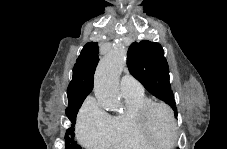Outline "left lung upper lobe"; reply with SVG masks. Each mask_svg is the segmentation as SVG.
<instances>
[{"label":"left lung upper lobe","mask_w":227,"mask_h":149,"mask_svg":"<svg viewBox=\"0 0 227 149\" xmlns=\"http://www.w3.org/2000/svg\"><path fill=\"white\" fill-rule=\"evenodd\" d=\"M130 73L154 96L176 111L174 94L169 83V68L160 44L143 40L134 42L127 53Z\"/></svg>","instance_id":"left-lung-upper-lobe-1"}]
</instances>
